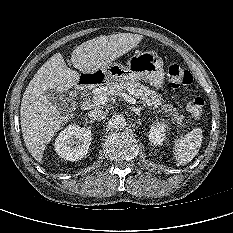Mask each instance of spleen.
Segmentation results:
<instances>
[{
    "label": "spleen",
    "mask_w": 233,
    "mask_h": 233,
    "mask_svg": "<svg viewBox=\"0 0 233 233\" xmlns=\"http://www.w3.org/2000/svg\"><path fill=\"white\" fill-rule=\"evenodd\" d=\"M202 138V129L196 127L185 136L174 140L173 152L177 166L186 165L193 160L199 152Z\"/></svg>",
    "instance_id": "3e777b00"
}]
</instances>
